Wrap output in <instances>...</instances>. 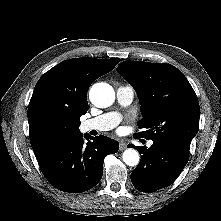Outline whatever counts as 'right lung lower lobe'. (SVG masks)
Segmentation results:
<instances>
[{
    "instance_id": "1",
    "label": "right lung lower lobe",
    "mask_w": 221,
    "mask_h": 221,
    "mask_svg": "<svg viewBox=\"0 0 221 221\" xmlns=\"http://www.w3.org/2000/svg\"><path fill=\"white\" fill-rule=\"evenodd\" d=\"M85 137L92 141L84 144L79 135L37 158L46 179L61 191L80 193L93 188L101 180L104 158L118 151V142L106 136Z\"/></svg>"
}]
</instances>
